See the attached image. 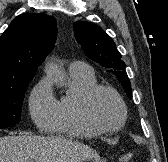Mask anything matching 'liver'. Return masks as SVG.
<instances>
[{
  "instance_id": "obj_1",
  "label": "liver",
  "mask_w": 168,
  "mask_h": 162,
  "mask_svg": "<svg viewBox=\"0 0 168 162\" xmlns=\"http://www.w3.org/2000/svg\"><path fill=\"white\" fill-rule=\"evenodd\" d=\"M98 158L89 146L71 139L31 134L0 137V162H83Z\"/></svg>"
}]
</instances>
